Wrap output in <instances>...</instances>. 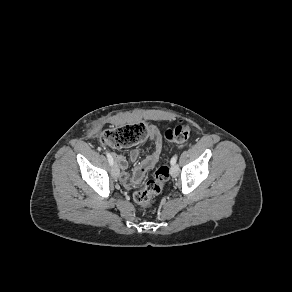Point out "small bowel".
I'll return each instance as SVG.
<instances>
[{
	"mask_svg": "<svg viewBox=\"0 0 292 292\" xmlns=\"http://www.w3.org/2000/svg\"><path fill=\"white\" fill-rule=\"evenodd\" d=\"M150 139L153 142L152 152L148 154L145 158H143L135 166L132 175H130L127 171L128 162L126 158L122 155H115V159L121 170L120 179L128 188H130L132 184H138L139 182H141L146 173L150 171L159 161L163 143L156 129L154 136L151 137ZM141 152H142L141 147L133 148L129 154L131 161H137L141 156Z\"/></svg>",
	"mask_w": 292,
	"mask_h": 292,
	"instance_id": "obj_1",
	"label": "small bowel"
}]
</instances>
